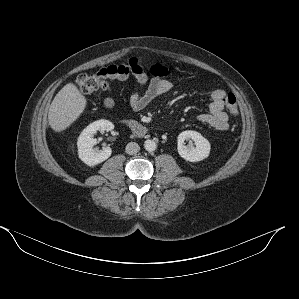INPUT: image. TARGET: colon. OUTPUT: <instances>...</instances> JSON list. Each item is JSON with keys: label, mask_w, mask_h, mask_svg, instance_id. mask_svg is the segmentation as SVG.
<instances>
[{"label": "colon", "mask_w": 299, "mask_h": 299, "mask_svg": "<svg viewBox=\"0 0 299 299\" xmlns=\"http://www.w3.org/2000/svg\"><path fill=\"white\" fill-rule=\"evenodd\" d=\"M122 73L116 66L104 68L93 74H80L75 79L78 90L83 94H90L108 87L109 82ZM225 105L229 114L235 117L238 114L236 97L233 93H227Z\"/></svg>", "instance_id": "5ec220e1"}]
</instances>
